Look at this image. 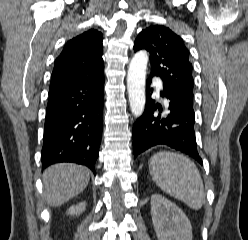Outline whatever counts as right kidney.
Masks as SVG:
<instances>
[{
    "mask_svg": "<svg viewBox=\"0 0 248 240\" xmlns=\"http://www.w3.org/2000/svg\"><path fill=\"white\" fill-rule=\"evenodd\" d=\"M86 208V203L85 202H80L76 205H72L68 210H67V215H79L81 214Z\"/></svg>",
    "mask_w": 248,
    "mask_h": 240,
    "instance_id": "ca27d5eb",
    "label": "right kidney"
}]
</instances>
